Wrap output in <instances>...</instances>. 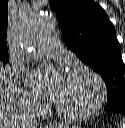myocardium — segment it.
<instances>
[{
	"mask_svg": "<svg viewBox=\"0 0 125 128\" xmlns=\"http://www.w3.org/2000/svg\"><path fill=\"white\" fill-rule=\"evenodd\" d=\"M79 74H84L95 81L98 89V95L94 104H92L90 107L86 109L76 112L67 111L56 103L55 109L58 115L68 120H79V119L91 117L103 107L107 98V90H106L105 82L97 72L84 66H76L69 71V75H79Z\"/></svg>",
	"mask_w": 125,
	"mask_h": 128,
	"instance_id": "f54148a6",
	"label": "myocardium"
}]
</instances>
